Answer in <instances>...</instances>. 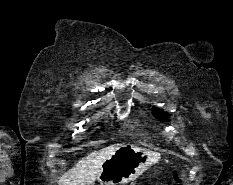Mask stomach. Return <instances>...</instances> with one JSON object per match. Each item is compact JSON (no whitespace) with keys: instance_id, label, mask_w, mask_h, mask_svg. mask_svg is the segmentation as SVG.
<instances>
[{"instance_id":"1","label":"stomach","mask_w":233,"mask_h":185,"mask_svg":"<svg viewBox=\"0 0 233 185\" xmlns=\"http://www.w3.org/2000/svg\"><path fill=\"white\" fill-rule=\"evenodd\" d=\"M153 151L134 145L117 149L101 166L97 177L101 185H124L137 179L159 160Z\"/></svg>"}]
</instances>
